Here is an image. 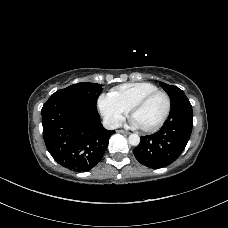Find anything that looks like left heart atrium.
Returning a JSON list of instances; mask_svg holds the SVG:
<instances>
[{
	"label": "left heart atrium",
	"instance_id": "obj_1",
	"mask_svg": "<svg viewBox=\"0 0 228 228\" xmlns=\"http://www.w3.org/2000/svg\"><path fill=\"white\" fill-rule=\"evenodd\" d=\"M132 125L139 127L138 124L136 123V121L134 119L131 120Z\"/></svg>",
	"mask_w": 228,
	"mask_h": 228
}]
</instances>
